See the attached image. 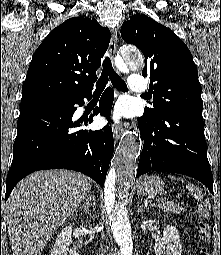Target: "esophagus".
Instances as JSON below:
<instances>
[{
    "instance_id": "obj_1",
    "label": "esophagus",
    "mask_w": 221,
    "mask_h": 255,
    "mask_svg": "<svg viewBox=\"0 0 221 255\" xmlns=\"http://www.w3.org/2000/svg\"><path fill=\"white\" fill-rule=\"evenodd\" d=\"M116 45H117V31L115 29L112 32L111 41H110V45H109V56L112 61H113L115 53H116ZM113 134H114L115 143H117L123 134L122 124H117L113 127Z\"/></svg>"
}]
</instances>
